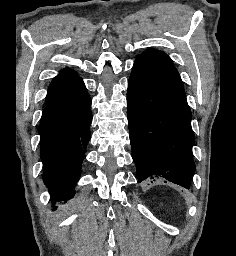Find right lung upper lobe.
Here are the masks:
<instances>
[{"label": "right lung upper lobe", "mask_w": 236, "mask_h": 256, "mask_svg": "<svg viewBox=\"0 0 236 256\" xmlns=\"http://www.w3.org/2000/svg\"><path fill=\"white\" fill-rule=\"evenodd\" d=\"M82 79L72 69L65 68L53 81L48 89L46 104L59 97L65 91L81 83Z\"/></svg>", "instance_id": "cb5924a9"}]
</instances>
